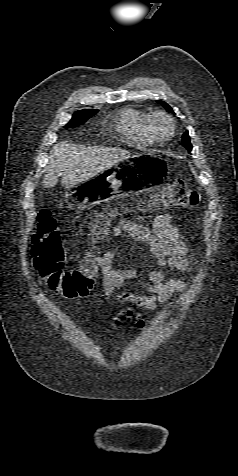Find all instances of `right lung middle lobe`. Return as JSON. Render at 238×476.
<instances>
[{
	"mask_svg": "<svg viewBox=\"0 0 238 476\" xmlns=\"http://www.w3.org/2000/svg\"><path fill=\"white\" fill-rule=\"evenodd\" d=\"M98 112V110L94 109H84L77 111L73 114L72 119L68 124H66V127H74L77 125H80L84 123L88 118L92 117Z\"/></svg>",
	"mask_w": 238,
	"mask_h": 476,
	"instance_id": "1",
	"label": "right lung middle lobe"
}]
</instances>
